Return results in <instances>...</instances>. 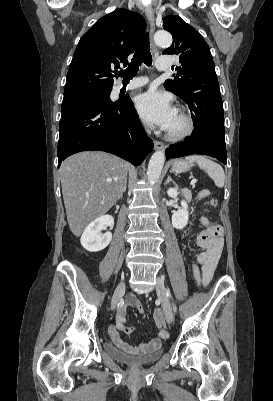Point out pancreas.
<instances>
[{"instance_id": "cf45deb5", "label": "pancreas", "mask_w": 273, "mask_h": 401, "mask_svg": "<svg viewBox=\"0 0 273 401\" xmlns=\"http://www.w3.org/2000/svg\"><path fill=\"white\" fill-rule=\"evenodd\" d=\"M183 194H184V196H186L187 201H190V198H192L191 190H187V188H185V190H183Z\"/></svg>"}]
</instances>
